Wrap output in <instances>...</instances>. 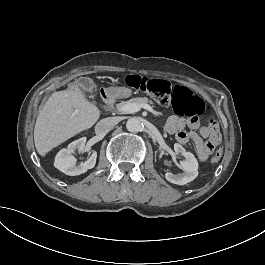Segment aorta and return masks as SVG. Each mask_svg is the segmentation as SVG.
Segmentation results:
<instances>
[{"instance_id":"762f6f07","label":"aorta","mask_w":265,"mask_h":265,"mask_svg":"<svg viewBox=\"0 0 265 265\" xmlns=\"http://www.w3.org/2000/svg\"><path fill=\"white\" fill-rule=\"evenodd\" d=\"M126 128L130 132H138L142 128V123L139 118L133 117L127 121Z\"/></svg>"}]
</instances>
